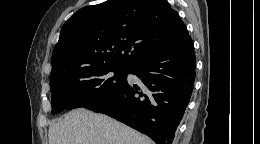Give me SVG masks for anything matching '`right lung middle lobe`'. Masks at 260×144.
Listing matches in <instances>:
<instances>
[{
  "instance_id": "right-lung-middle-lobe-1",
  "label": "right lung middle lobe",
  "mask_w": 260,
  "mask_h": 144,
  "mask_svg": "<svg viewBox=\"0 0 260 144\" xmlns=\"http://www.w3.org/2000/svg\"><path fill=\"white\" fill-rule=\"evenodd\" d=\"M128 67L100 65L57 74L51 77L52 113L93 104L120 89Z\"/></svg>"
}]
</instances>
